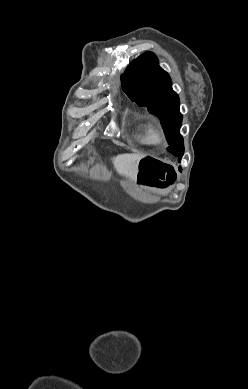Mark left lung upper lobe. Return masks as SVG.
Here are the masks:
<instances>
[{
  "mask_svg": "<svg viewBox=\"0 0 248 389\" xmlns=\"http://www.w3.org/2000/svg\"><path fill=\"white\" fill-rule=\"evenodd\" d=\"M121 82L124 92L132 101L147 107L161 120L169 143L168 150L179 156L180 161L184 145L179 133L182 123L179 97L171 87L169 74L159 67L154 53L145 52L134 60L122 75Z\"/></svg>",
  "mask_w": 248,
  "mask_h": 389,
  "instance_id": "1",
  "label": "left lung upper lobe"
}]
</instances>
